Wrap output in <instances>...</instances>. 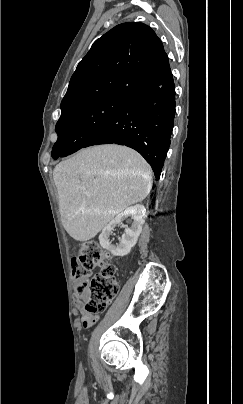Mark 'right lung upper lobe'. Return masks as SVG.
<instances>
[{"label": "right lung upper lobe", "instance_id": "cb5924a9", "mask_svg": "<svg viewBox=\"0 0 243 404\" xmlns=\"http://www.w3.org/2000/svg\"><path fill=\"white\" fill-rule=\"evenodd\" d=\"M170 74L162 42L149 26L117 25L97 39L78 64L61 102L62 114L94 100L128 99Z\"/></svg>", "mask_w": 243, "mask_h": 404}]
</instances>
